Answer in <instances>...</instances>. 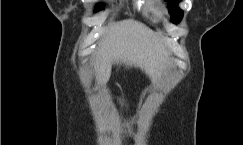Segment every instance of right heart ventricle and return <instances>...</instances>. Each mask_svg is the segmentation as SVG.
I'll return each mask as SVG.
<instances>
[{
	"label": "right heart ventricle",
	"mask_w": 243,
	"mask_h": 145,
	"mask_svg": "<svg viewBox=\"0 0 243 145\" xmlns=\"http://www.w3.org/2000/svg\"><path fill=\"white\" fill-rule=\"evenodd\" d=\"M142 10L147 17L154 21L159 20L161 16V6L159 0H144Z\"/></svg>",
	"instance_id": "e07e8e85"
}]
</instances>
